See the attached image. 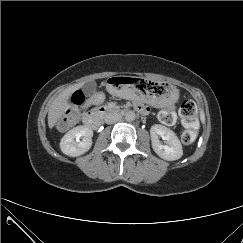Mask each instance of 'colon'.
Masks as SVG:
<instances>
[{
  "mask_svg": "<svg viewBox=\"0 0 243 243\" xmlns=\"http://www.w3.org/2000/svg\"><path fill=\"white\" fill-rule=\"evenodd\" d=\"M85 96L81 91H76L71 97L72 106L65 116L59 119L57 127L60 130L68 129L77 119V116L83 107ZM197 106L191 101H184L179 109V116L184 125V131L181 134V141L189 145L196 139L197 128ZM160 121L165 125H172L176 116L172 107H169L159 114Z\"/></svg>",
  "mask_w": 243,
  "mask_h": 243,
  "instance_id": "colon-1",
  "label": "colon"
}]
</instances>
